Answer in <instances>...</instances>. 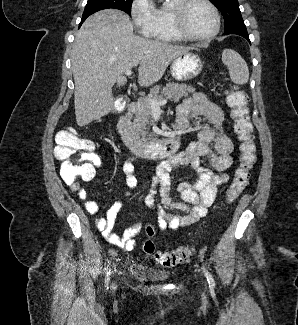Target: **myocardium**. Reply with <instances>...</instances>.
Instances as JSON below:
<instances>
[{
	"label": "myocardium",
	"instance_id": "obj_1",
	"mask_svg": "<svg viewBox=\"0 0 298 325\" xmlns=\"http://www.w3.org/2000/svg\"><path fill=\"white\" fill-rule=\"evenodd\" d=\"M198 3L203 5L214 19V29L213 31L205 38H198L190 35L183 27L182 16L185 9H187L191 4ZM169 13V25L173 34L185 41L197 42V43H209L211 42L220 31V20L217 12L211 4L205 0H172L169 2L168 6Z\"/></svg>",
	"mask_w": 298,
	"mask_h": 325
}]
</instances>
